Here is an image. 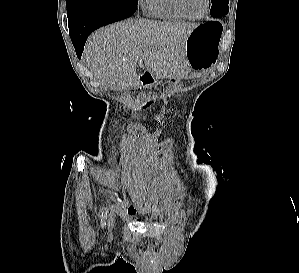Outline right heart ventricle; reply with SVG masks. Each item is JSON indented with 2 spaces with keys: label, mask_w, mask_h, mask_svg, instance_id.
<instances>
[{
  "label": "right heart ventricle",
  "mask_w": 299,
  "mask_h": 273,
  "mask_svg": "<svg viewBox=\"0 0 299 273\" xmlns=\"http://www.w3.org/2000/svg\"><path fill=\"white\" fill-rule=\"evenodd\" d=\"M147 13L168 21H182L187 17L179 10L175 0H144Z\"/></svg>",
  "instance_id": "e07e8e85"
}]
</instances>
